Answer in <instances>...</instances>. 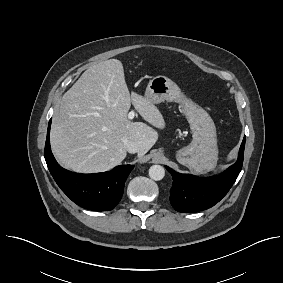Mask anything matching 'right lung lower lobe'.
<instances>
[{"label":"right lung lower lobe","instance_id":"obj_1","mask_svg":"<svg viewBox=\"0 0 283 283\" xmlns=\"http://www.w3.org/2000/svg\"><path fill=\"white\" fill-rule=\"evenodd\" d=\"M49 121L45 160L61 190L77 205L93 211H109L121 200L125 181L134 165H119L112 171L78 174L63 169L55 160L49 141Z\"/></svg>","mask_w":283,"mask_h":283}]
</instances>
